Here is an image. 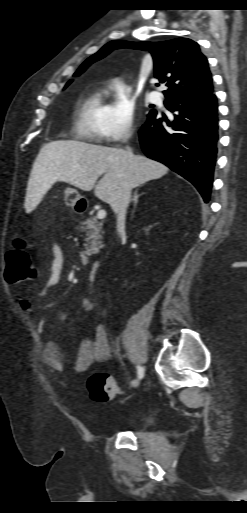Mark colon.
<instances>
[{"instance_id":"1","label":"colon","mask_w":247,"mask_h":513,"mask_svg":"<svg viewBox=\"0 0 247 513\" xmlns=\"http://www.w3.org/2000/svg\"><path fill=\"white\" fill-rule=\"evenodd\" d=\"M37 276V268L24 241L19 240L7 254L5 278L11 284L32 281ZM87 390L92 400L108 402L112 400L120 389L114 379L107 373L97 372L87 380Z\"/></svg>"}]
</instances>
